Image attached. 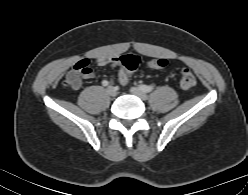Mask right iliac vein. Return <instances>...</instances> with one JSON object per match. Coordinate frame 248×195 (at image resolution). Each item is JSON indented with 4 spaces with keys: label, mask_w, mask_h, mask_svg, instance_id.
I'll list each match as a JSON object with an SVG mask.
<instances>
[{
    "label": "right iliac vein",
    "mask_w": 248,
    "mask_h": 195,
    "mask_svg": "<svg viewBox=\"0 0 248 195\" xmlns=\"http://www.w3.org/2000/svg\"><path fill=\"white\" fill-rule=\"evenodd\" d=\"M106 91L112 97H115L117 95V90L113 86H108L107 89H106Z\"/></svg>",
    "instance_id": "obj_1"
}]
</instances>
